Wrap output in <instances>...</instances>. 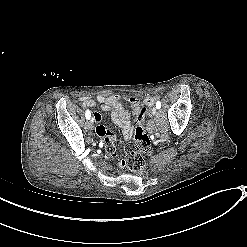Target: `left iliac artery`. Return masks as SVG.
<instances>
[{
    "label": "left iliac artery",
    "instance_id": "44dca946",
    "mask_svg": "<svg viewBox=\"0 0 247 247\" xmlns=\"http://www.w3.org/2000/svg\"><path fill=\"white\" fill-rule=\"evenodd\" d=\"M156 108H157V109H160V108H161V103H160V101H157V103H156Z\"/></svg>",
    "mask_w": 247,
    "mask_h": 247
}]
</instances>
